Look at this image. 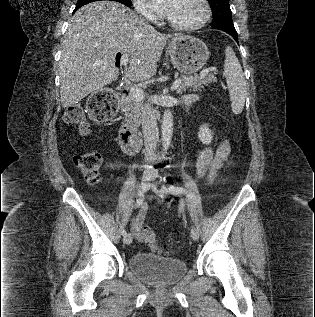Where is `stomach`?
Segmentation results:
<instances>
[{
  "mask_svg": "<svg viewBox=\"0 0 315 317\" xmlns=\"http://www.w3.org/2000/svg\"><path fill=\"white\" fill-rule=\"evenodd\" d=\"M168 50L174 67L184 75L195 74L209 58L205 43L190 35L173 38L168 44Z\"/></svg>",
  "mask_w": 315,
  "mask_h": 317,
  "instance_id": "1",
  "label": "stomach"
}]
</instances>
